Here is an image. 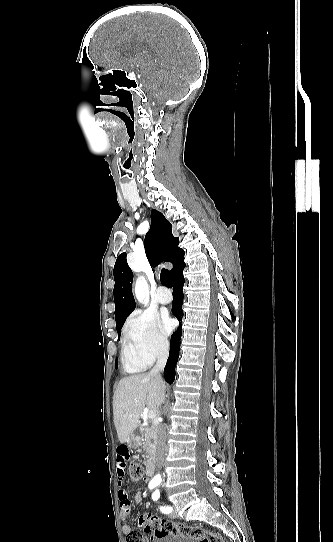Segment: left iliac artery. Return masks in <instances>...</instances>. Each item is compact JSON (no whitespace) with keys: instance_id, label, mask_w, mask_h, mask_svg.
I'll use <instances>...</instances> for the list:
<instances>
[{"instance_id":"left-iliac-artery-1","label":"left iliac artery","mask_w":333,"mask_h":542,"mask_svg":"<svg viewBox=\"0 0 333 542\" xmlns=\"http://www.w3.org/2000/svg\"><path fill=\"white\" fill-rule=\"evenodd\" d=\"M159 497H160V492H159V490H156V491L152 494V499H153L154 501H157V500L159 499ZM160 511H161L162 513L168 514V513L172 512V508H171V507L161 506V507H160Z\"/></svg>"}]
</instances>
